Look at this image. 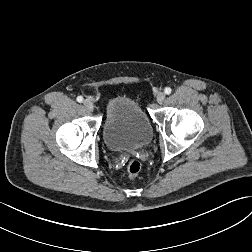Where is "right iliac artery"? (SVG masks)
<instances>
[{
  "label": "right iliac artery",
  "mask_w": 252,
  "mask_h": 252,
  "mask_svg": "<svg viewBox=\"0 0 252 252\" xmlns=\"http://www.w3.org/2000/svg\"><path fill=\"white\" fill-rule=\"evenodd\" d=\"M77 101H78L79 103H81V102L83 101V97H82V96H78V97H77Z\"/></svg>",
  "instance_id": "82829eb1"
}]
</instances>
